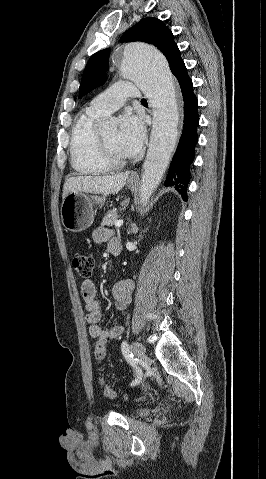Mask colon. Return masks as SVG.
Returning a JSON list of instances; mask_svg holds the SVG:
<instances>
[{"mask_svg": "<svg viewBox=\"0 0 266 479\" xmlns=\"http://www.w3.org/2000/svg\"><path fill=\"white\" fill-rule=\"evenodd\" d=\"M71 261L73 268L76 270L80 277L87 278L91 276L95 264L93 256L80 251H76L73 253ZM92 350L97 360H103L107 352V340H96L92 345ZM104 394L109 399L116 398V394L108 387H105Z\"/></svg>", "mask_w": 266, "mask_h": 479, "instance_id": "obj_1", "label": "colon"}]
</instances>
